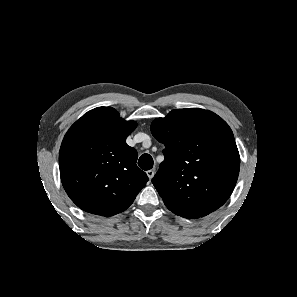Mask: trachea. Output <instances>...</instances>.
Instances as JSON below:
<instances>
[{
	"instance_id": "trachea-1",
	"label": "trachea",
	"mask_w": 297,
	"mask_h": 297,
	"mask_svg": "<svg viewBox=\"0 0 297 297\" xmlns=\"http://www.w3.org/2000/svg\"><path fill=\"white\" fill-rule=\"evenodd\" d=\"M138 165L143 170H150L153 167V158L149 154H143L139 158Z\"/></svg>"
}]
</instances>
